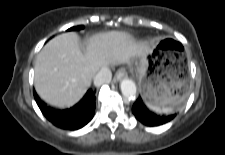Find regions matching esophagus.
Wrapping results in <instances>:
<instances>
[{"instance_id":"esophagus-1","label":"esophagus","mask_w":225,"mask_h":155,"mask_svg":"<svg viewBox=\"0 0 225 155\" xmlns=\"http://www.w3.org/2000/svg\"><path fill=\"white\" fill-rule=\"evenodd\" d=\"M125 77H127V72L124 68H121L115 73L114 81H120Z\"/></svg>"}]
</instances>
